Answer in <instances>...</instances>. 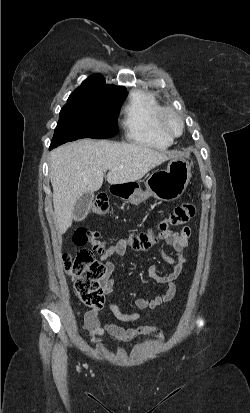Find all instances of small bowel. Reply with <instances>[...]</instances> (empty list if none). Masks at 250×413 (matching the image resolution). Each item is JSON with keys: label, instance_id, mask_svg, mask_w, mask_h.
Returning a JSON list of instances; mask_svg holds the SVG:
<instances>
[{"label": "small bowel", "instance_id": "obj_1", "mask_svg": "<svg viewBox=\"0 0 250 413\" xmlns=\"http://www.w3.org/2000/svg\"><path fill=\"white\" fill-rule=\"evenodd\" d=\"M159 236L165 243L172 247L175 254L167 253L162 246H158L157 251L161 258L168 264L172 265L173 269L168 274H160L158 266L153 264L147 269V276L159 284L167 285V290L164 294L154 298H137L134 301V306L138 310L155 309L158 306L170 302L176 294L175 281L181 274L184 266L188 263L187 257L184 255V249L189 246V238L191 236V228L186 226L180 230L165 229L159 231ZM123 240L117 244L110 246L105 253L100 257L99 262L105 267V274L100 280L103 294L108 297L115 291L116 284L111 278L114 271V263L109 260L113 255L121 256L124 253ZM108 308L113 315L120 321L132 322L137 321L142 317L139 312L130 314L123 313L119 307L112 302L107 303ZM98 309L93 308L84 314V327L90 332L89 336L102 337L107 332L110 338L119 343H130L141 336L152 335L156 332V327L153 325H145L137 328H124L114 323H107L102 326L98 320Z\"/></svg>", "mask_w": 250, "mask_h": 413}]
</instances>
